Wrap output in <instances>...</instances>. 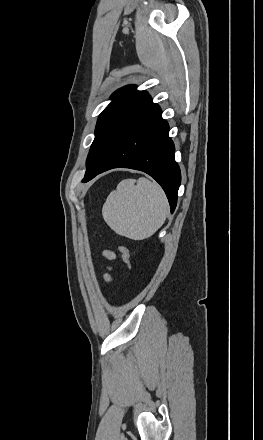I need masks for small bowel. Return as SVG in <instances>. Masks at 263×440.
Instances as JSON below:
<instances>
[{"label": "small bowel", "instance_id": "c3829d8e", "mask_svg": "<svg viewBox=\"0 0 263 440\" xmlns=\"http://www.w3.org/2000/svg\"><path fill=\"white\" fill-rule=\"evenodd\" d=\"M104 255L108 259H114L115 258V254L112 251H109V250L105 251ZM106 279L108 280L109 276H106Z\"/></svg>", "mask_w": 263, "mask_h": 440}]
</instances>
